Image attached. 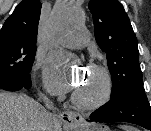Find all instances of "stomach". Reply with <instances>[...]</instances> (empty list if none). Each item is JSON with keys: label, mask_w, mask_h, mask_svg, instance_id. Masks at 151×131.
Returning a JSON list of instances; mask_svg holds the SVG:
<instances>
[{"label": "stomach", "mask_w": 151, "mask_h": 131, "mask_svg": "<svg viewBox=\"0 0 151 131\" xmlns=\"http://www.w3.org/2000/svg\"><path fill=\"white\" fill-rule=\"evenodd\" d=\"M75 131H110L109 128L102 124H80L72 127Z\"/></svg>", "instance_id": "1"}]
</instances>
